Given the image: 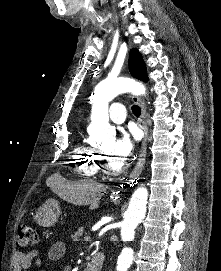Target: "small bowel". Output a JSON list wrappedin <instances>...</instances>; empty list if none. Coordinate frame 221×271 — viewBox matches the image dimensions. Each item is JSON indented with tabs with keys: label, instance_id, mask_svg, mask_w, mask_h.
<instances>
[{
	"label": "small bowel",
	"instance_id": "1",
	"mask_svg": "<svg viewBox=\"0 0 221 271\" xmlns=\"http://www.w3.org/2000/svg\"><path fill=\"white\" fill-rule=\"evenodd\" d=\"M66 251V246L63 242L58 241L51 245L48 250V259L50 261L60 260ZM12 265L14 271H27L33 267H41L42 260L39 257L38 250H32L27 253L15 252L12 256ZM70 266H64L62 271H71Z\"/></svg>",
	"mask_w": 221,
	"mask_h": 271
}]
</instances>
